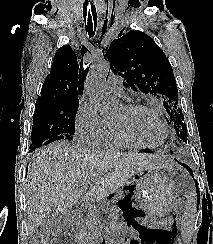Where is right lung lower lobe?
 I'll list each match as a JSON object with an SVG mask.
<instances>
[{
	"label": "right lung lower lobe",
	"instance_id": "right-lung-lower-lobe-1",
	"mask_svg": "<svg viewBox=\"0 0 213 244\" xmlns=\"http://www.w3.org/2000/svg\"><path fill=\"white\" fill-rule=\"evenodd\" d=\"M60 139H64V137L63 136H57V137H54V138H51V139H49V140H47L46 142H44L42 145H40L39 147H41V146H43V145H46V144H49V143H51V142H53V141H56V140H60ZM38 147V148H39ZM37 149V148H36ZM35 149H31L30 151H34Z\"/></svg>",
	"mask_w": 213,
	"mask_h": 244
}]
</instances>
